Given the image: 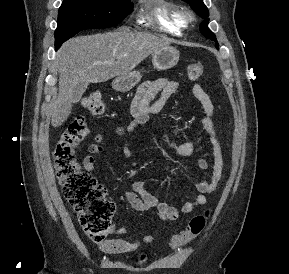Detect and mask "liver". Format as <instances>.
<instances>
[{
    "instance_id": "1",
    "label": "liver",
    "mask_w": 289,
    "mask_h": 274,
    "mask_svg": "<svg viewBox=\"0 0 289 274\" xmlns=\"http://www.w3.org/2000/svg\"><path fill=\"white\" fill-rule=\"evenodd\" d=\"M168 41L148 33L126 30L72 38L57 52L59 91L51 124L61 126L72 111L73 93L79 83L105 82L130 73Z\"/></svg>"
}]
</instances>
